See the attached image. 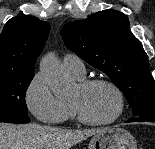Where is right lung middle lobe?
<instances>
[{"instance_id":"1","label":"right lung middle lobe","mask_w":155,"mask_h":149,"mask_svg":"<svg viewBox=\"0 0 155 149\" xmlns=\"http://www.w3.org/2000/svg\"><path fill=\"white\" fill-rule=\"evenodd\" d=\"M34 71L0 76V122L28 123L26 90Z\"/></svg>"}]
</instances>
